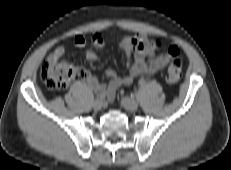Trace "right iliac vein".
Here are the masks:
<instances>
[{
	"label": "right iliac vein",
	"instance_id": "63e3f726",
	"mask_svg": "<svg viewBox=\"0 0 231 170\" xmlns=\"http://www.w3.org/2000/svg\"><path fill=\"white\" fill-rule=\"evenodd\" d=\"M104 106V101L102 99H96L94 102H93V108L95 110H101Z\"/></svg>",
	"mask_w": 231,
	"mask_h": 170
}]
</instances>
